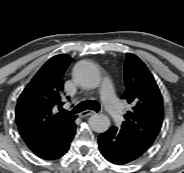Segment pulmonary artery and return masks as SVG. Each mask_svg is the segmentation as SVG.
Returning a JSON list of instances; mask_svg holds the SVG:
<instances>
[{"instance_id": "1", "label": "pulmonary artery", "mask_w": 184, "mask_h": 173, "mask_svg": "<svg viewBox=\"0 0 184 173\" xmlns=\"http://www.w3.org/2000/svg\"><path fill=\"white\" fill-rule=\"evenodd\" d=\"M101 95L103 103L114 121L122 120V106L116 98L111 81L105 78L101 85Z\"/></svg>"}]
</instances>
